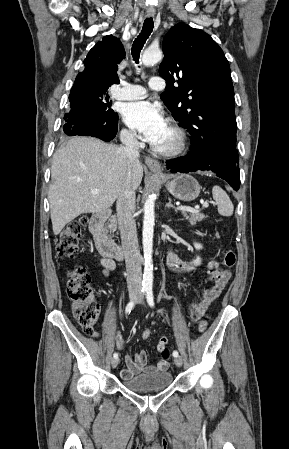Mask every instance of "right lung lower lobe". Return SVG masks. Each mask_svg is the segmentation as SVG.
I'll return each mask as SVG.
<instances>
[{"mask_svg":"<svg viewBox=\"0 0 289 449\" xmlns=\"http://www.w3.org/2000/svg\"><path fill=\"white\" fill-rule=\"evenodd\" d=\"M82 90L78 89L75 85L71 89L69 96V101L71 106L75 105L82 97ZM118 129V114L111 124L108 125H97L94 122H77L76 125L70 119L63 127L70 136L81 135V136H92L100 138L104 141H110L116 136Z\"/></svg>","mask_w":289,"mask_h":449,"instance_id":"obj_1","label":"right lung lower lobe"}]
</instances>
